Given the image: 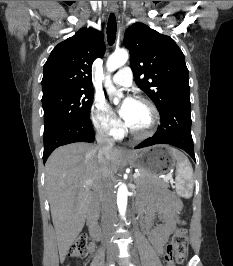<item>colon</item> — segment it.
<instances>
[{
  "mask_svg": "<svg viewBox=\"0 0 233 266\" xmlns=\"http://www.w3.org/2000/svg\"><path fill=\"white\" fill-rule=\"evenodd\" d=\"M87 236L80 235L72 244L70 249V257L73 259L82 258L87 251ZM187 254V232L184 223L181 222L176 229L172 239L167 244L164 259L166 266H174V262L182 264Z\"/></svg>",
  "mask_w": 233,
  "mask_h": 266,
  "instance_id": "1",
  "label": "colon"
}]
</instances>
